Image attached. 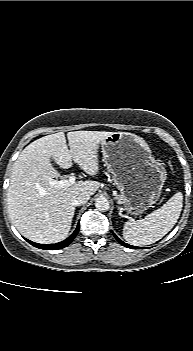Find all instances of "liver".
<instances>
[{"instance_id":"1","label":"liver","mask_w":193,"mask_h":351,"mask_svg":"<svg viewBox=\"0 0 193 351\" xmlns=\"http://www.w3.org/2000/svg\"><path fill=\"white\" fill-rule=\"evenodd\" d=\"M113 132H58L39 138L20 153L15 161L7 191L10 218L26 238L41 244L64 240L71 228L75 212V197L86 191L95 194L100 183L79 181L59 188L49 184L59 177L51 159L62 169L72 167V161L87 174L99 172V145Z\"/></svg>"}]
</instances>
